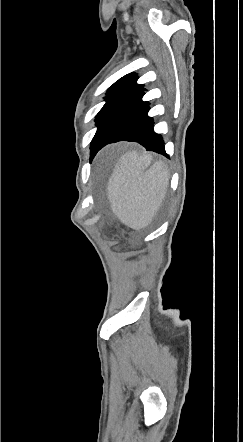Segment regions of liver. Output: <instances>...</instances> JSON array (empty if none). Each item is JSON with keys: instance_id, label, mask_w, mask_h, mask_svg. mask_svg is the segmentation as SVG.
I'll return each instance as SVG.
<instances>
[{"instance_id": "1", "label": "liver", "mask_w": 243, "mask_h": 442, "mask_svg": "<svg viewBox=\"0 0 243 442\" xmlns=\"http://www.w3.org/2000/svg\"><path fill=\"white\" fill-rule=\"evenodd\" d=\"M152 154L137 150L121 155L109 178L107 196L113 213L134 230L147 227L166 197L169 171L162 161L152 166Z\"/></svg>"}]
</instances>
